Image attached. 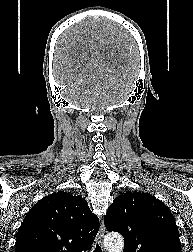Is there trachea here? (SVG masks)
I'll return each mask as SVG.
<instances>
[{
	"instance_id": "obj_1",
	"label": "trachea",
	"mask_w": 193,
	"mask_h": 252,
	"mask_svg": "<svg viewBox=\"0 0 193 252\" xmlns=\"http://www.w3.org/2000/svg\"><path fill=\"white\" fill-rule=\"evenodd\" d=\"M93 252H101L100 246L97 244Z\"/></svg>"
}]
</instances>
